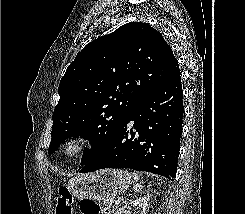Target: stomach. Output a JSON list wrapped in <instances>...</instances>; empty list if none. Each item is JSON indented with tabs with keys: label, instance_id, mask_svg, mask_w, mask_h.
Instances as JSON below:
<instances>
[{
	"label": "stomach",
	"instance_id": "stomach-1",
	"mask_svg": "<svg viewBox=\"0 0 245 214\" xmlns=\"http://www.w3.org/2000/svg\"><path fill=\"white\" fill-rule=\"evenodd\" d=\"M131 183V177L125 170L102 169L71 178L68 189L77 199H94L109 203L123 194Z\"/></svg>",
	"mask_w": 245,
	"mask_h": 214
}]
</instances>
